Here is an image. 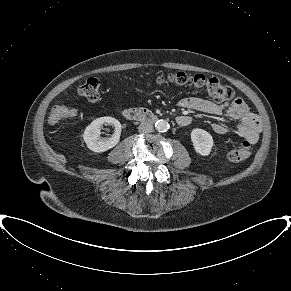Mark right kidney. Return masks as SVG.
I'll return each mask as SVG.
<instances>
[{
	"mask_svg": "<svg viewBox=\"0 0 291 291\" xmlns=\"http://www.w3.org/2000/svg\"><path fill=\"white\" fill-rule=\"evenodd\" d=\"M105 123L115 127L114 134L109 139L100 138L101 126ZM120 134L121 124L117 119L113 117H100L86 127L83 139L91 151L101 153L115 147L119 142Z\"/></svg>",
	"mask_w": 291,
	"mask_h": 291,
	"instance_id": "right-kidney-1",
	"label": "right kidney"
}]
</instances>
